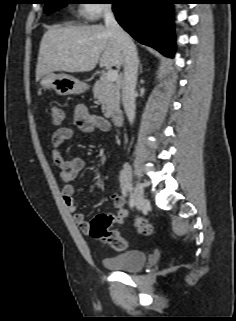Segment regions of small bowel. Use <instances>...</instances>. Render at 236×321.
<instances>
[{
	"label": "small bowel",
	"mask_w": 236,
	"mask_h": 321,
	"mask_svg": "<svg viewBox=\"0 0 236 321\" xmlns=\"http://www.w3.org/2000/svg\"><path fill=\"white\" fill-rule=\"evenodd\" d=\"M74 120L76 126L84 132H91L94 129H100L107 132L110 130V123L103 117L89 112L84 106H77L75 109ZM74 135V129L71 126L58 128L52 135V159L55 165L60 169V176L65 184L62 187L63 202L70 213L74 214V222L83 232H87L89 222L82 213H77V202L75 197V187L71 183L84 168V161L80 157L65 158L61 152L64 142ZM112 194L114 206L121 208L125 203L126 192Z\"/></svg>",
	"instance_id": "1"
}]
</instances>
